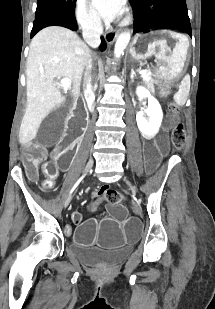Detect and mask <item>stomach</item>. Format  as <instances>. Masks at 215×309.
<instances>
[{"label":"stomach","mask_w":215,"mask_h":309,"mask_svg":"<svg viewBox=\"0 0 215 309\" xmlns=\"http://www.w3.org/2000/svg\"><path fill=\"white\" fill-rule=\"evenodd\" d=\"M189 40L185 34L168 29L150 30L136 34L129 53L133 62L155 57L154 81L167 86L177 79L187 65Z\"/></svg>","instance_id":"obj_1"}]
</instances>
